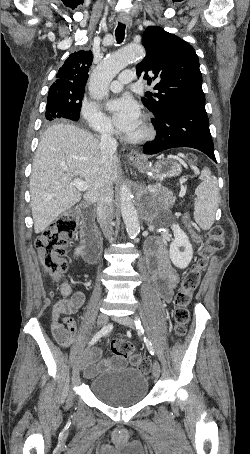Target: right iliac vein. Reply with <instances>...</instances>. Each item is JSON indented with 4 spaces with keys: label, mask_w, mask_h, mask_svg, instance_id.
Masks as SVG:
<instances>
[{
    "label": "right iliac vein",
    "mask_w": 250,
    "mask_h": 454,
    "mask_svg": "<svg viewBox=\"0 0 250 454\" xmlns=\"http://www.w3.org/2000/svg\"><path fill=\"white\" fill-rule=\"evenodd\" d=\"M108 322V316L103 314V313H100L97 317V325L99 327L101 326H104L105 324H107ZM89 354H90V348H86L80 355L79 357V365H78V369L80 371H82L84 369V365L89 357Z\"/></svg>",
    "instance_id": "1"
}]
</instances>
